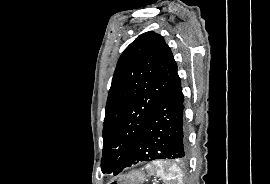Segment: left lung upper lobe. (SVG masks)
<instances>
[{
	"label": "left lung upper lobe",
	"mask_w": 270,
	"mask_h": 184,
	"mask_svg": "<svg viewBox=\"0 0 270 184\" xmlns=\"http://www.w3.org/2000/svg\"><path fill=\"white\" fill-rule=\"evenodd\" d=\"M177 74L164 38L138 36L122 53L109 91L103 124V173L121 170L140 132Z\"/></svg>",
	"instance_id": "obj_1"
}]
</instances>
